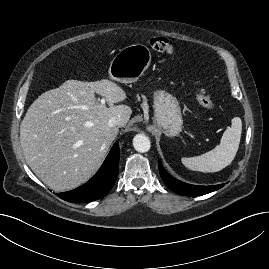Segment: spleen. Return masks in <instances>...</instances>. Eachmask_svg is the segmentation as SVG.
I'll return each mask as SVG.
<instances>
[{
	"instance_id": "3e777b00",
	"label": "spleen",
	"mask_w": 269,
	"mask_h": 269,
	"mask_svg": "<svg viewBox=\"0 0 269 269\" xmlns=\"http://www.w3.org/2000/svg\"><path fill=\"white\" fill-rule=\"evenodd\" d=\"M241 133V119L234 117L231 121V127L224 131L219 145L200 156L183 157L182 163L190 170L200 172L213 173L224 169L231 164L236 156Z\"/></svg>"
}]
</instances>
